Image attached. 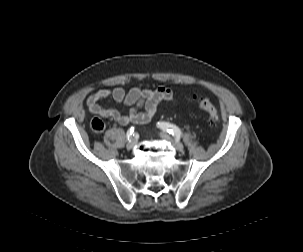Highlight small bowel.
I'll return each mask as SVG.
<instances>
[{
    "label": "small bowel",
    "mask_w": 303,
    "mask_h": 252,
    "mask_svg": "<svg viewBox=\"0 0 303 252\" xmlns=\"http://www.w3.org/2000/svg\"><path fill=\"white\" fill-rule=\"evenodd\" d=\"M107 99L127 105L128 112L122 114L118 110L104 108L100 102ZM162 101L176 105L173 88L162 86L152 90L145 87H133L128 92L121 87L99 89L88 97L86 105L91 113L116 121L121 125H140L152 119ZM142 108L145 112H140Z\"/></svg>",
    "instance_id": "1"
}]
</instances>
